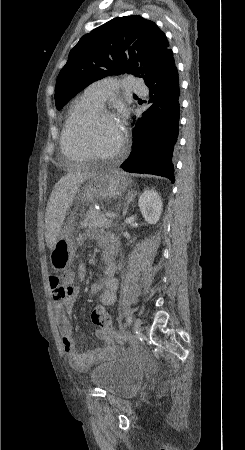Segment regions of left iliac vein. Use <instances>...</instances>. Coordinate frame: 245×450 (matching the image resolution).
Masks as SVG:
<instances>
[{"label": "left iliac vein", "mask_w": 245, "mask_h": 450, "mask_svg": "<svg viewBox=\"0 0 245 450\" xmlns=\"http://www.w3.org/2000/svg\"><path fill=\"white\" fill-rule=\"evenodd\" d=\"M141 324H142L141 319L137 318V319L135 320V323H134V327H133L134 330H135V331H138V330L140 329Z\"/></svg>", "instance_id": "left-iliac-vein-1"}]
</instances>
